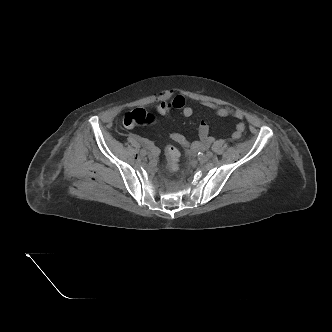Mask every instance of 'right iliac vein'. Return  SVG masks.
Instances as JSON below:
<instances>
[{
	"mask_svg": "<svg viewBox=\"0 0 332 332\" xmlns=\"http://www.w3.org/2000/svg\"><path fill=\"white\" fill-rule=\"evenodd\" d=\"M140 154H141L142 156H145V155L147 154V150H146V149H141V150H140Z\"/></svg>",
	"mask_w": 332,
	"mask_h": 332,
	"instance_id": "63e3f726",
	"label": "right iliac vein"
}]
</instances>
